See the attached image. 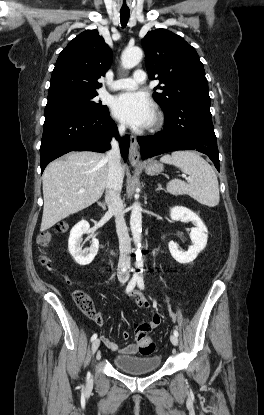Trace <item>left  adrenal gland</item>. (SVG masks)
<instances>
[{
    "mask_svg": "<svg viewBox=\"0 0 264 415\" xmlns=\"http://www.w3.org/2000/svg\"><path fill=\"white\" fill-rule=\"evenodd\" d=\"M162 190V186L161 184H158V188L156 189V191Z\"/></svg>",
    "mask_w": 264,
    "mask_h": 415,
    "instance_id": "left-adrenal-gland-1",
    "label": "left adrenal gland"
}]
</instances>
